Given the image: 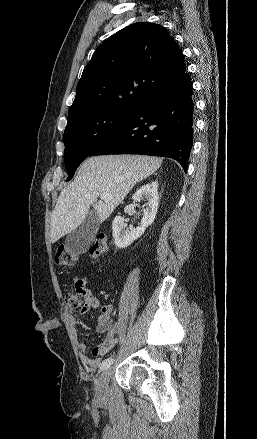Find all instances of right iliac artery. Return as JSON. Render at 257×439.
Instances as JSON below:
<instances>
[{
    "label": "right iliac artery",
    "mask_w": 257,
    "mask_h": 439,
    "mask_svg": "<svg viewBox=\"0 0 257 439\" xmlns=\"http://www.w3.org/2000/svg\"><path fill=\"white\" fill-rule=\"evenodd\" d=\"M113 363V358H107L105 360L102 361L101 365H100V371L110 367V365Z\"/></svg>",
    "instance_id": "82829eb1"
}]
</instances>
